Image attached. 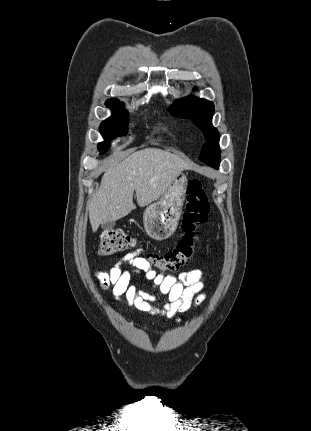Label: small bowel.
<instances>
[{
	"instance_id": "c3829d8e",
	"label": "small bowel",
	"mask_w": 311,
	"mask_h": 431,
	"mask_svg": "<svg viewBox=\"0 0 311 431\" xmlns=\"http://www.w3.org/2000/svg\"><path fill=\"white\" fill-rule=\"evenodd\" d=\"M129 265L130 269H124ZM134 274H144L154 282L166 301L159 305L158 298L147 291L139 290L131 283ZM100 286L103 289L112 287L116 300L125 298L128 305L150 316H164L168 319L176 318L191 307L200 305L205 294L203 271L195 269L181 273L178 277L165 276L152 269V265L145 255L128 253L120 258L109 271L96 273Z\"/></svg>"
}]
</instances>
